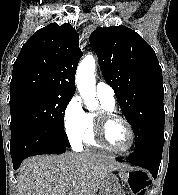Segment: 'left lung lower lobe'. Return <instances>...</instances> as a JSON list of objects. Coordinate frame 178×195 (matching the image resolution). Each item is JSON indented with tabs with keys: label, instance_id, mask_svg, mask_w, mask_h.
<instances>
[{
	"label": "left lung lower lobe",
	"instance_id": "left-lung-lower-lobe-1",
	"mask_svg": "<svg viewBox=\"0 0 178 195\" xmlns=\"http://www.w3.org/2000/svg\"><path fill=\"white\" fill-rule=\"evenodd\" d=\"M163 145L164 141L149 144L140 149L134 150L127 159L130 163L149 170L153 177L156 178L161 162ZM116 160L123 162L122 159L117 158Z\"/></svg>",
	"mask_w": 178,
	"mask_h": 195
}]
</instances>
